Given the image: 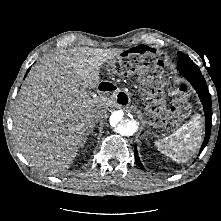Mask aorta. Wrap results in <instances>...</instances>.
<instances>
[{"mask_svg":"<svg viewBox=\"0 0 221 221\" xmlns=\"http://www.w3.org/2000/svg\"><path fill=\"white\" fill-rule=\"evenodd\" d=\"M110 125L112 130L122 136H132L139 128V123L134 114L124 111H115L110 117Z\"/></svg>","mask_w":221,"mask_h":221,"instance_id":"1","label":"aorta"}]
</instances>
